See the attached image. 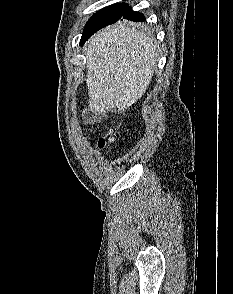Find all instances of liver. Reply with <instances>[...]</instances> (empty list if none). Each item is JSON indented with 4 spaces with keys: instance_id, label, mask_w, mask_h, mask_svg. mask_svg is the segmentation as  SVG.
Returning a JSON list of instances; mask_svg holds the SVG:
<instances>
[{
    "instance_id": "liver-1",
    "label": "liver",
    "mask_w": 233,
    "mask_h": 294,
    "mask_svg": "<svg viewBox=\"0 0 233 294\" xmlns=\"http://www.w3.org/2000/svg\"><path fill=\"white\" fill-rule=\"evenodd\" d=\"M89 107L125 112L146 92L157 66L154 37L120 22L86 43Z\"/></svg>"
}]
</instances>
